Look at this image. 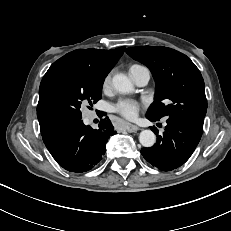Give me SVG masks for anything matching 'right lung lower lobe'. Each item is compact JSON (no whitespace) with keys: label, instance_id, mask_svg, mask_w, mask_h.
<instances>
[{"label":"right lung lower lobe","instance_id":"98d812e1","mask_svg":"<svg viewBox=\"0 0 231 231\" xmlns=\"http://www.w3.org/2000/svg\"><path fill=\"white\" fill-rule=\"evenodd\" d=\"M115 133L112 123L106 117L101 119L99 129L84 125L80 119L58 124L42 133V138L60 166L70 172L82 173L102 159L106 142Z\"/></svg>","mask_w":231,"mask_h":231}]
</instances>
